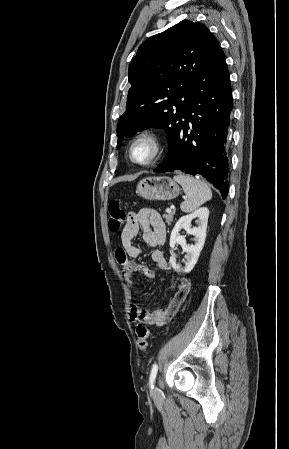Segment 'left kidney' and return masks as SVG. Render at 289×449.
<instances>
[{
  "mask_svg": "<svg viewBox=\"0 0 289 449\" xmlns=\"http://www.w3.org/2000/svg\"><path fill=\"white\" fill-rule=\"evenodd\" d=\"M208 217V208L202 207L191 214L182 216L175 224L171 232L170 247L174 248L175 244H180L186 253V262L183 267L176 263L173 256L170 257L169 263L176 272L189 273L197 263L205 243ZM194 219H196L198 227L191 228V222ZM181 229H185L188 234L194 236V245H187L185 237L179 233Z\"/></svg>",
  "mask_w": 289,
  "mask_h": 449,
  "instance_id": "1",
  "label": "left kidney"
}]
</instances>
